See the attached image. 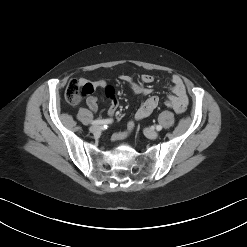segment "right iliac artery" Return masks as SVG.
I'll use <instances>...</instances> for the list:
<instances>
[{
  "label": "right iliac artery",
  "mask_w": 247,
  "mask_h": 247,
  "mask_svg": "<svg viewBox=\"0 0 247 247\" xmlns=\"http://www.w3.org/2000/svg\"><path fill=\"white\" fill-rule=\"evenodd\" d=\"M112 120L110 119H105V120H100V119H97V120H94L92 121V125H97V124H109L111 123Z\"/></svg>",
  "instance_id": "right-iliac-artery-1"
}]
</instances>
